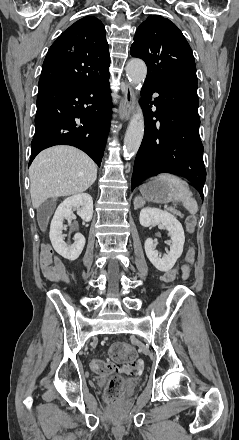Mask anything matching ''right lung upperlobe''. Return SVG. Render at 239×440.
Listing matches in <instances>:
<instances>
[{
    "mask_svg": "<svg viewBox=\"0 0 239 440\" xmlns=\"http://www.w3.org/2000/svg\"><path fill=\"white\" fill-rule=\"evenodd\" d=\"M105 27L94 16L66 29L52 44L43 63L39 89L86 83L109 74Z\"/></svg>",
    "mask_w": 239,
    "mask_h": 440,
    "instance_id": "cb5924a9",
    "label": "right lung upper lobe"
}]
</instances>
